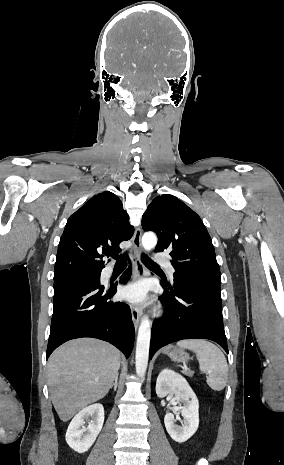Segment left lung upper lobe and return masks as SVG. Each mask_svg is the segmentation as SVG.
<instances>
[{"mask_svg": "<svg viewBox=\"0 0 284 465\" xmlns=\"http://www.w3.org/2000/svg\"><path fill=\"white\" fill-rule=\"evenodd\" d=\"M142 228L158 236L156 252L170 251L174 277L221 285V274L209 233L200 217L172 195L153 199L142 217Z\"/></svg>", "mask_w": 284, "mask_h": 465, "instance_id": "1", "label": "left lung upper lobe"}]
</instances>
